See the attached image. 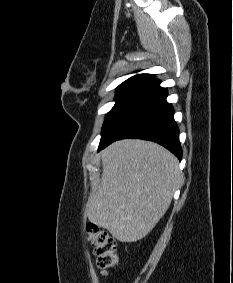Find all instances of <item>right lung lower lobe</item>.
<instances>
[{"label": "right lung lower lobe", "instance_id": "obj_1", "mask_svg": "<svg viewBox=\"0 0 233 283\" xmlns=\"http://www.w3.org/2000/svg\"><path fill=\"white\" fill-rule=\"evenodd\" d=\"M160 83V80L154 81L141 93L98 151L116 140L144 139L159 143L181 160L182 148L178 138L179 129L173 117L174 109L166 101L168 93Z\"/></svg>", "mask_w": 233, "mask_h": 283}]
</instances>
